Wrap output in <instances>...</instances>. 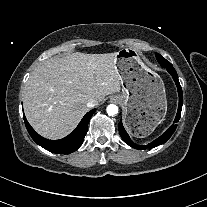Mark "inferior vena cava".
<instances>
[{
  "instance_id": "602c4592",
  "label": "inferior vena cava",
  "mask_w": 207,
  "mask_h": 207,
  "mask_svg": "<svg viewBox=\"0 0 207 207\" xmlns=\"http://www.w3.org/2000/svg\"><path fill=\"white\" fill-rule=\"evenodd\" d=\"M87 107L89 108H92V107H95L98 105V101L96 99H90L88 102H87Z\"/></svg>"
}]
</instances>
